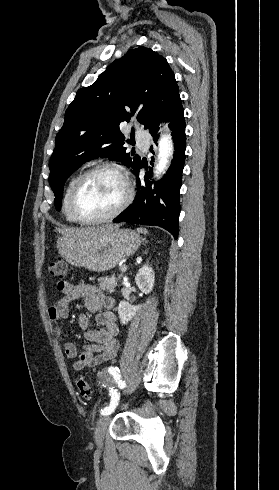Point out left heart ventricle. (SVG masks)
Wrapping results in <instances>:
<instances>
[{"label": "left heart ventricle", "instance_id": "left-heart-ventricle-1", "mask_svg": "<svg viewBox=\"0 0 279 490\" xmlns=\"http://www.w3.org/2000/svg\"><path fill=\"white\" fill-rule=\"evenodd\" d=\"M124 195V185L116 174H96L87 180L78 196V214L84 219L108 214L118 206Z\"/></svg>", "mask_w": 279, "mask_h": 490}]
</instances>
